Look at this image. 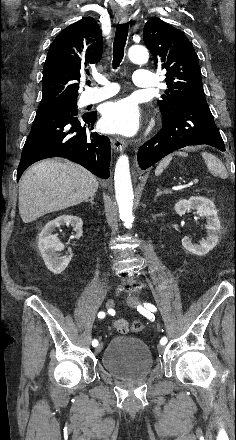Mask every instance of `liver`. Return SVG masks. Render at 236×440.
<instances>
[{
	"mask_svg": "<svg viewBox=\"0 0 236 440\" xmlns=\"http://www.w3.org/2000/svg\"><path fill=\"white\" fill-rule=\"evenodd\" d=\"M97 178L80 165L54 160L41 161L22 176L19 214L24 223L80 204L95 195Z\"/></svg>",
	"mask_w": 236,
	"mask_h": 440,
	"instance_id": "1",
	"label": "liver"
}]
</instances>
